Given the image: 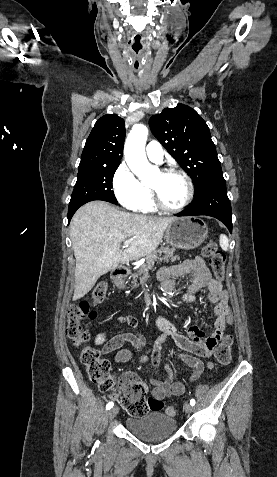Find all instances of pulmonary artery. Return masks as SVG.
<instances>
[{
    "mask_svg": "<svg viewBox=\"0 0 277 477\" xmlns=\"http://www.w3.org/2000/svg\"><path fill=\"white\" fill-rule=\"evenodd\" d=\"M146 155L148 159L155 163H160L163 159V150L156 141H151L146 147Z\"/></svg>",
    "mask_w": 277,
    "mask_h": 477,
    "instance_id": "1",
    "label": "pulmonary artery"
}]
</instances>
